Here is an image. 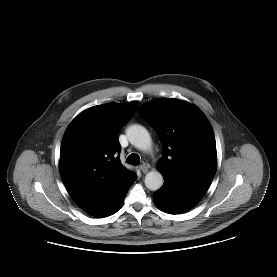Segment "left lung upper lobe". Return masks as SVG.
Here are the masks:
<instances>
[{
	"label": "left lung upper lobe",
	"mask_w": 277,
	"mask_h": 277,
	"mask_svg": "<svg viewBox=\"0 0 277 277\" xmlns=\"http://www.w3.org/2000/svg\"><path fill=\"white\" fill-rule=\"evenodd\" d=\"M138 112L156 131L163 146L157 167L164 180L209 188L217 167L212 127L194 105L162 98L142 105Z\"/></svg>",
	"instance_id": "5c2ea615"
}]
</instances>
